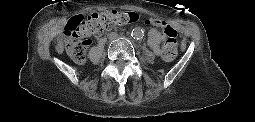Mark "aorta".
<instances>
[{
    "label": "aorta",
    "mask_w": 255,
    "mask_h": 122,
    "mask_svg": "<svg viewBox=\"0 0 255 122\" xmlns=\"http://www.w3.org/2000/svg\"><path fill=\"white\" fill-rule=\"evenodd\" d=\"M131 36L135 39H139L143 36V30L140 27H135L131 31Z\"/></svg>",
    "instance_id": "aorta-1"
}]
</instances>
